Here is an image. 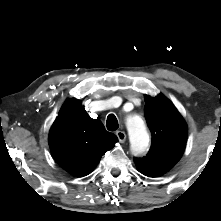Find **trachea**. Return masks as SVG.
Segmentation results:
<instances>
[{"mask_svg": "<svg viewBox=\"0 0 221 221\" xmlns=\"http://www.w3.org/2000/svg\"><path fill=\"white\" fill-rule=\"evenodd\" d=\"M106 126L109 131H115L118 129L119 124L114 114H110L107 117Z\"/></svg>", "mask_w": 221, "mask_h": 221, "instance_id": "obj_1", "label": "trachea"}]
</instances>
